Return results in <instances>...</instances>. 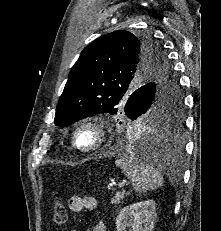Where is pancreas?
I'll return each mask as SVG.
<instances>
[{
	"instance_id": "cf45deb5",
	"label": "pancreas",
	"mask_w": 221,
	"mask_h": 231,
	"mask_svg": "<svg viewBox=\"0 0 221 231\" xmlns=\"http://www.w3.org/2000/svg\"><path fill=\"white\" fill-rule=\"evenodd\" d=\"M124 198V192H118L115 194L113 198H111V203L116 204L119 203L121 199Z\"/></svg>"
}]
</instances>
